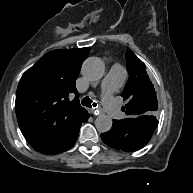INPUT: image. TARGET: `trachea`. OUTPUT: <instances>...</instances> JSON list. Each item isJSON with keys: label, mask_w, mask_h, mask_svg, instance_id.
Instances as JSON below:
<instances>
[{"label": "trachea", "mask_w": 193, "mask_h": 193, "mask_svg": "<svg viewBox=\"0 0 193 193\" xmlns=\"http://www.w3.org/2000/svg\"><path fill=\"white\" fill-rule=\"evenodd\" d=\"M93 101L89 98V97H84L82 99V105L86 106V107H96L97 103L93 102Z\"/></svg>", "instance_id": "1"}]
</instances>
